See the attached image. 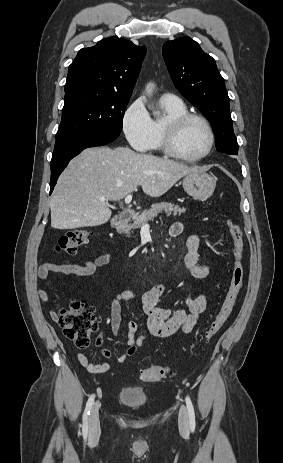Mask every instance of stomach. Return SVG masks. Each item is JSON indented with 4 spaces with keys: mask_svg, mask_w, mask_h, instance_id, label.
<instances>
[{
    "mask_svg": "<svg viewBox=\"0 0 283 463\" xmlns=\"http://www.w3.org/2000/svg\"><path fill=\"white\" fill-rule=\"evenodd\" d=\"M182 183L186 193L199 201L211 197L216 187L215 178L202 171L186 175Z\"/></svg>",
    "mask_w": 283,
    "mask_h": 463,
    "instance_id": "1",
    "label": "stomach"
}]
</instances>
